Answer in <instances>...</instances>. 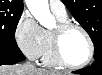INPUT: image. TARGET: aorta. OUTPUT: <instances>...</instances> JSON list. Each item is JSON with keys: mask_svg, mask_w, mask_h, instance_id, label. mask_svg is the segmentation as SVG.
Segmentation results:
<instances>
[{"mask_svg": "<svg viewBox=\"0 0 102 75\" xmlns=\"http://www.w3.org/2000/svg\"><path fill=\"white\" fill-rule=\"evenodd\" d=\"M26 5L41 26L50 28L55 24V18L49 10L48 0H26Z\"/></svg>", "mask_w": 102, "mask_h": 75, "instance_id": "aorta-1", "label": "aorta"}]
</instances>
